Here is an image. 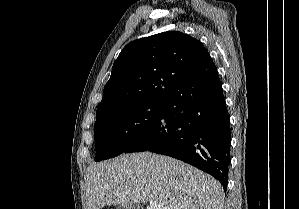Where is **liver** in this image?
<instances>
[{"mask_svg": "<svg viewBox=\"0 0 299 209\" xmlns=\"http://www.w3.org/2000/svg\"><path fill=\"white\" fill-rule=\"evenodd\" d=\"M88 209L155 201L169 209H223L224 191L212 176L151 152L121 155L87 168Z\"/></svg>", "mask_w": 299, "mask_h": 209, "instance_id": "6515ba94", "label": "liver"}]
</instances>
